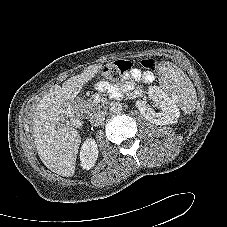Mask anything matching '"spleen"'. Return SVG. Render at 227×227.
Masks as SVG:
<instances>
[{"instance_id":"spleen-1","label":"spleen","mask_w":227,"mask_h":227,"mask_svg":"<svg viewBox=\"0 0 227 227\" xmlns=\"http://www.w3.org/2000/svg\"><path fill=\"white\" fill-rule=\"evenodd\" d=\"M159 73L160 88L175 101L180 109L186 113L193 112L197 97L194 86L187 75L170 62L162 63Z\"/></svg>"}]
</instances>
